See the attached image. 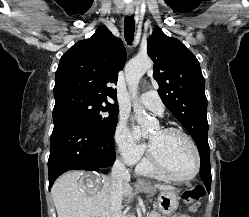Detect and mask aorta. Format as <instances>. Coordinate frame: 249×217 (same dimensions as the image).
I'll use <instances>...</instances> for the list:
<instances>
[{
  "label": "aorta",
  "instance_id": "aorta-1",
  "mask_svg": "<svg viewBox=\"0 0 249 217\" xmlns=\"http://www.w3.org/2000/svg\"><path fill=\"white\" fill-rule=\"evenodd\" d=\"M152 66L153 63L149 57H136L128 63L125 74L130 91L134 98L136 97L137 87L141 77L147 70L152 68ZM134 113L137 122L140 124L143 130H148L154 126V120L150 119L147 116L145 110L137 103H134Z\"/></svg>",
  "mask_w": 249,
  "mask_h": 217
}]
</instances>
